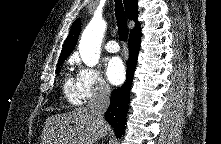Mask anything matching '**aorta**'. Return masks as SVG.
<instances>
[{"label": "aorta", "instance_id": "aorta-1", "mask_svg": "<svg viewBox=\"0 0 221 144\" xmlns=\"http://www.w3.org/2000/svg\"><path fill=\"white\" fill-rule=\"evenodd\" d=\"M106 30V22L102 18L94 17L86 26L79 43L81 59L88 67L98 64L101 42Z\"/></svg>", "mask_w": 221, "mask_h": 144}]
</instances>
